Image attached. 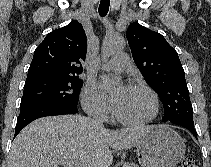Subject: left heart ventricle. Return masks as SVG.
<instances>
[{"instance_id": "left-heart-ventricle-1", "label": "left heart ventricle", "mask_w": 211, "mask_h": 167, "mask_svg": "<svg viewBox=\"0 0 211 167\" xmlns=\"http://www.w3.org/2000/svg\"><path fill=\"white\" fill-rule=\"evenodd\" d=\"M153 112V102L150 95L138 89L130 88L117 113L131 120H142Z\"/></svg>"}]
</instances>
